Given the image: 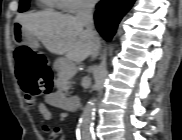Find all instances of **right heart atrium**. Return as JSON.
I'll use <instances>...</instances> for the list:
<instances>
[{
    "label": "right heart atrium",
    "instance_id": "1",
    "mask_svg": "<svg viewBox=\"0 0 182 140\" xmlns=\"http://www.w3.org/2000/svg\"><path fill=\"white\" fill-rule=\"evenodd\" d=\"M61 9L72 14L85 13L93 7L91 0H62Z\"/></svg>",
    "mask_w": 182,
    "mask_h": 140
}]
</instances>
